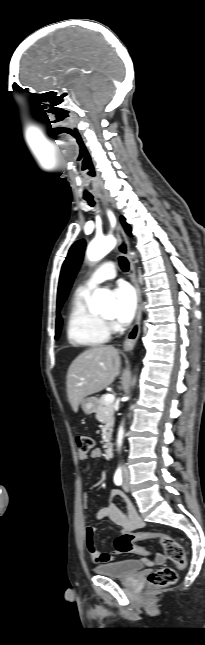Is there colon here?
<instances>
[{
    "label": "colon",
    "mask_w": 205,
    "mask_h": 645,
    "mask_svg": "<svg viewBox=\"0 0 205 645\" xmlns=\"http://www.w3.org/2000/svg\"><path fill=\"white\" fill-rule=\"evenodd\" d=\"M76 444L80 454H88L94 446L93 440L86 435H78ZM158 539L164 549L165 556L178 568L186 565L185 552L182 545L169 535L160 532H140L138 534L121 535L114 542L115 550L119 553H136L148 556L149 552L135 544L138 540ZM177 572L171 567H162L148 576V583L151 587L162 588L173 585L177 582Z\"/></svg>",
    "instance_id": "colon-1"
}]
</instances>
